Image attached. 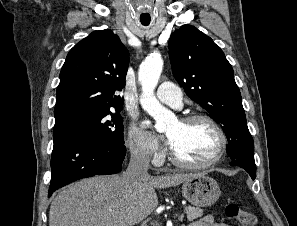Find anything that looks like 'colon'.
<instances>
[{
    "mask_svg": "<svg viewBox=\"0 0 297 226\" xmlns=\"http://www.w3.org/2000/svg\"><path fill=\"white\" fill-rule=\"evenodd\" d=\"M225 213L229 218L236 219L242 226H255L257 223L255 214L241 209L236 203H229Z\"/></svg>",
    "mask_w": 297,
    "mask_h": 226,
    "instance_id": "colon-1",
    "label": "colon"
}]
</instances>
